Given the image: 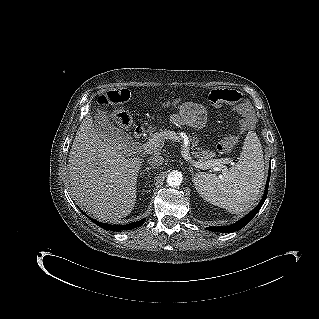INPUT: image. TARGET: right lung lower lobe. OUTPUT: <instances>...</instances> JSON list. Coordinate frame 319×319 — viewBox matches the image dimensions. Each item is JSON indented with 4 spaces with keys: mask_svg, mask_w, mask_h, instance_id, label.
Listing matches in <instances>:
<instances>
[{
    "mask_svg": "<svg viewBox=\"0 0 319 319\" xmlns=\"http://www.w3.org/2000/svg\"><path fill=\"white\" fill-rule=\"evenodd\" d=\"M83 214L86 215L84 212H83ZM91 221L94 222L95 224H97L98 226L102 227L105 230L118 232V231L130 230V229L139 227L144 223L145 219H142L141 221L133 222L130 224H126V225H111V224H106V223H100L99 221H96L94 219H91Z\"/></svg>",
    "mask_w": 319,
    "mask_h": 319,
    "instance_id": "right-lung-lower-lobe-1",
    "label": "right lung lower lobe"
}]
</instances>
